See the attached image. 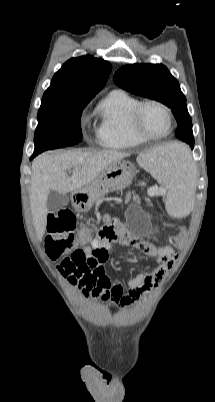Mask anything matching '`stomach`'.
<instances>
[{"mask_svg": "<svg viewBox=\"0 0 215 402\" xmlns=\"http://www.w3.org/2000/svg\"><path fill=\"white\" fill-rule=\"evenodd\" d=\"M136 173L134 164L129 161L121 160L113 163L89 185L72 192L74 208L78 212H88L101 197L127 187Z\"/></svg>", "mask_w": 215, "mask_h": 402, "instance_id": "stomach-1", "label": "stomach"}]
</instances>
